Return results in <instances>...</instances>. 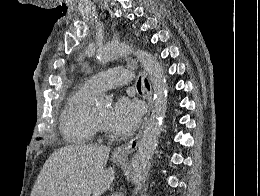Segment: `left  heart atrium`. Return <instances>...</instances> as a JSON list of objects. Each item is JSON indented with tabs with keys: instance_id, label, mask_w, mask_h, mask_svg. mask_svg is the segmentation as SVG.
Masks as SVG:
<instances>
[{
	"instance_id": "1",
	"label": "left heart atrium",
	"mask_w": 260,
	"mask_h": 196,
	"mask_svg": "<svg viewBox=\"0 0 260 196\" xmlns=\"http://www.w3.org/2000/svg\"><path fill=\"white\" fill-rule=\"evenodd\" d=\"M141 116L142 110L138 102L121 97L110 110L107 125L118 134L128 135L139 125Z\"/></svg>"
}]
</instances>
